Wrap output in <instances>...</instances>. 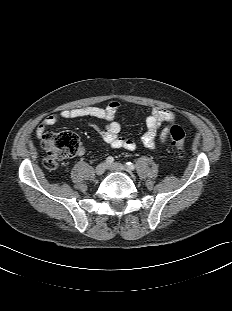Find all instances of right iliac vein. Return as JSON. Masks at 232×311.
Masks as SVG:
<instances>
[{
	"mask_svg": "<svg viewBox=\"0 0 232 311\" xmlns=\"http://www.w3.org/2000/svg\"><path fill=\"white\" fill-rule=\"evenodd\" d=\"M106 168H107L106 163H100L99 165H97V167L95 168L96 175L100 176L104 174V172L106 171Z\"/></svg>",
	"mask_w": 232,
	"mask_h": 311,
	"instance_id": "right-iliac-vein-1",
	"label": "right iliac vein"
}]
</instances>
